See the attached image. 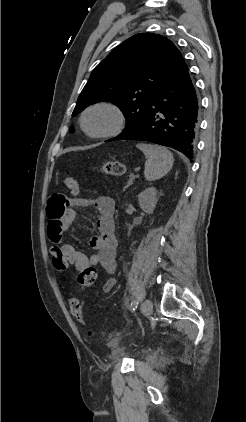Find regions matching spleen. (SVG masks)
<instances>
[{
  "label": "spleen",
  "mask_w": 246,
  "mask_h": 422,
  "mask_svg": "<svg viewBox=\"0 0 246 422\" xmlns=\"http://www.w3.org/2000/svg\"><path fill=\"white\" fill-rule=\"evenodd\" d=\"M136 147L147 157L144 171L146 180H158L171 170L174 158L167 148L145 143H139Z\"/></svg>",
  "instance_id": "3e777b00"
}]
</instances>
